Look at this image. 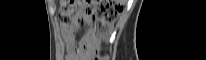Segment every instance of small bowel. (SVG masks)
<instances>
[{"instance_id":"c3829d8e","label":"small bowel","mask_w":206,"mask_h":60,"mask_svg":"<svg viewBox=\"0 0 206 60\" xmlns=\"http://www.w3.org/2000/svg\"><path fill=\"white\" fill-rule=\"evenodd\" d=\"M73 32H74V26L72 25L62 26V34L64 38L69 42V45L67 47V60H81L83 58L79 55L74 44L71 43V36Z\"/></svg>"}]
</instances>
